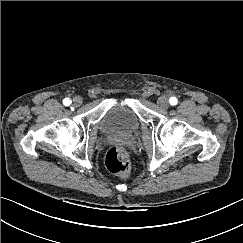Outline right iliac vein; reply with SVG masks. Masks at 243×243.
Here are the masks:
<instances>
[{
  "label": "right iliac vein",
  "instance_id": "obj_1",
  "mask_svg": "<svg viewBox=\"0 0 243 243\" xmlns=\"http://www.w3.org/2000/svg\"><path fill=\"white\" fill-rule=\"evenodd\" d=\"M81 104H82V98L81 97L76 96V97L73 98L72 105L74 107H79Z\"/></svg>",
  "mask_w": 243,
  "mask_h": 243
}]
</instances>
